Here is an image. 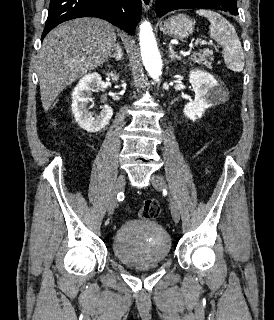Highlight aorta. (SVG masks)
I'll use <instances>...</instances> for the list:
<instances>
[{"mask_svg":"<svg viewBox=\"0 0 274 320\" xmlns=\"http://www.w3.org/2000/svg\"><path fill=\"white\" fill-rule=\"evenodd\" d=\"M139 44L145 69L151 78L157 79L162 73V60L152 26L147 20L139 26Z\"/></svg>","mask_w":274,"mask_h":320,"instance_id":"1","label":"aorta"}]
</instances>
